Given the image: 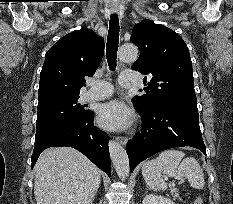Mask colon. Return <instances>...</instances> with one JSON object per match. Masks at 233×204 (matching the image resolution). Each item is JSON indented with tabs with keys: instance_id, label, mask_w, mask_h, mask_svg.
<instances>
[{
	"instance_id": "colon-1",
	"label": "colon",
	"mask_w": 233,
	"mask_h": 204,
	"mask_svg": "<svg viewBox=\"0 0 233 204\" xmlns=\"http://www.w3.org/2000/svg\"><path fill=\"white\" fill-rule=\"evenodd\" d=\"M194 204H202L201 198H200V197H197V198L195 199Z\"/></svg>"
}]
</instances>
